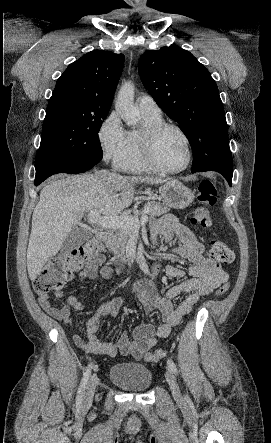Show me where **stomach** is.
<instances>
[{
  "label": "stomach",
  "mask_w": 271,
  "mask_h": 443,
  "mask_svg": "<svg viewBox=\"0 0 271 443\" xmlns=\"http://www.w3.org/2000/svg\"><path fill=\"white\" fill-rule=\"evenodd\" d=\"M161 198H163L164 204L169 206V208L184 210V208H188L192 204L195 196L194 192L183 186L181 182L172 180V182H167L165 186H162Z\"/></svg>",
  "instance_id": "1"
}]
</instances>
